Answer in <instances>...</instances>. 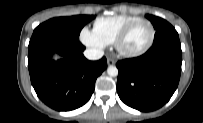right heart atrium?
Segmentation results:
<instances>
[{
    "label": "right heart atrium",
    "instance_id": "d8ad5b80",
    "mask_svg": "<svg viewBox=\"0 0 203 123\" xmlns=\"http://www.w3.org/2000/svg\"><path fill=\"white\" fill-rule=\"evenodd\" d=\"M81 41L92 48L101 49L104 44L95 36L94 32L88 28H83L80 33Z\"/></svg>",
    "mask_w": 203,
    "mask_h": 123
}]
</instances>
